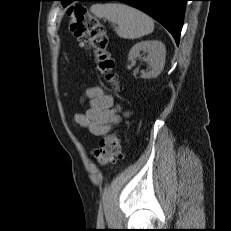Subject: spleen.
I'll return each mask as SVG.
<instances>
[{
  "instance_id": "spleen-1",
  "label": "spleen",
  "mask_w": 231,
  "mask_h": 231,
  "mask_svg": "<svg viewBox=\"0 0 231 231\" xmlns=\"http://www.w3.org/2000/svg\"><path fill=\"white\" fill-rule=\"evenodd\" d=\"M90 11L96 17L118 25L116 33L124 39H137L154 30V21L151 17L122 3H96L91 6Z\"/></svg>"
}]
</instances>
